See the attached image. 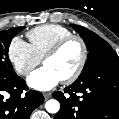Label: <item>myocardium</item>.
<instances>
[{"mask_svg":"<svg viewBox=\"0 0 119 119\" xmlns=\"http://www.w3.org/2000/svg\"><path fill=\"white\" fill-rule=\"evenodd\" d=\"M77 41L82 49V56L77 68L67 77L62 79V81L66 84L74 82L83 72L85 65L88 59V47L84 39L78 35H71L56 43L43 57V63L46 59L51 58L59 54L65 46H67L70 42Z\"/></svg>","mask_w":119,"mask_h":119,"instance_id":"myocardium-1","label":"myocardium"}]
</instances>
